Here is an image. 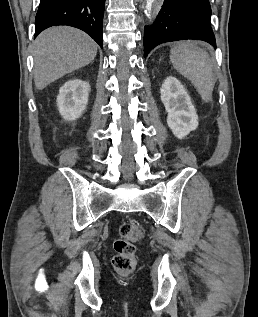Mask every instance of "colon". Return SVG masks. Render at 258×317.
Returning <instances> with one entry per match:
<instances>
[{"instance_id": "1", "label": "colon", "mask_w": 258, "mask_h": 317, "mask_svg": "<svg viewBox=\"0 0 258 317\" xmlns=\"http://www.w3.org/2000/svg\"><path fill=\"white\" fill-rule=\"evenodd\" d=\"M143 230L135 222L121 224L118 238L114 242L113 267L121 273L131 272L136 266V243L142 238Z\"/></svg>"}]
</instances>
